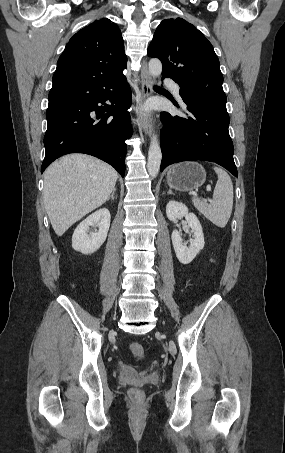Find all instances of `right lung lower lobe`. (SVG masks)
I'll return each mask as SVG.
<instances>
[{
	"label": "right lung lower lobe",
	"mask_w": 285,
	"mask_h": 453,
	"mask_svg": "<svg viewBox=\"0 0 285 453\" xmlns=\"http://www.w3.org/2000/svg\"><path fill=\"white\" fill-rule=\"evenodd\" d=\"M130 105L131 90L124 75L99 80L53 81L46 111V152L41 173L57 158L77 152L98 157L123 177L125 140L132 134L126 111ZM111 115L113 118H109Z\"/></svg>",
	"instance_id": "98d812e1"
}]
</instances>
